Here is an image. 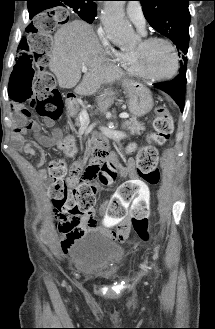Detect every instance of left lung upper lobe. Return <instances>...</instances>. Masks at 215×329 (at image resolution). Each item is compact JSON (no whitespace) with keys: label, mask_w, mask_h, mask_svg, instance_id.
I'll return each instance as SVG.
<instances>
[{"label":"left lung upper lobe","mask_w":215,"mask_h":329,"mask_svg":"<svg viewBox=\"0 0 215 329\" xmlns=\"http://www.w3.org/2000/svg\"><path fill=\"white\" fill-rule=\"evenodd\" d=\"M149 24L159 33L168 37L177 47L181 57V68L187 64L189 46L191 0H139Z\"/></svg>","instance_id":"obj_1"}]
</instances>
